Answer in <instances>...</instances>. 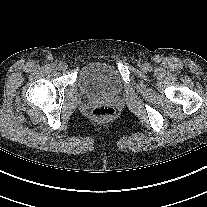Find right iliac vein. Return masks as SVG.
I'll list each match as a JSON object with an SVG mask.
<instances>
[{
  "label": "right iliac vein",
  "instance_id": "63e3f726",
  "mask_svg": "<svg viewBox=\"0 0 207 207\" xmlns=\"http://www.w3.org/2000/svg\"><path fill=\"white\" fill-rule=\"evenodd\" d=\"M67 67H68V65H67L65 62H63V63L61 64V66H60V69H61V70H66Z\"/></svg>",
  "mask_w": 207,
  "mask_h": 207
}]
</instances>
